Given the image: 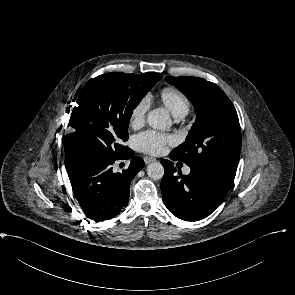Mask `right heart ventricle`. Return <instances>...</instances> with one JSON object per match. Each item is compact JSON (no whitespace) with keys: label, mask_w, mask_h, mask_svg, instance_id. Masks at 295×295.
<instances>
[{"label":"right heart ventricle","mask_w":295,"mask_h":295,"mask_svg":"<svg viewBox=\"0 0 295 295\" xmlns=\"http://www.w3.org/2000/svg\"><path fill=\"white\" fill-rule=\"evenodd\" d=\"M160 100L176 119L184 118L190 110L187 96L175 87H165L160 91Z\"/></svg>","instance_id":"1"}]
</instances>
